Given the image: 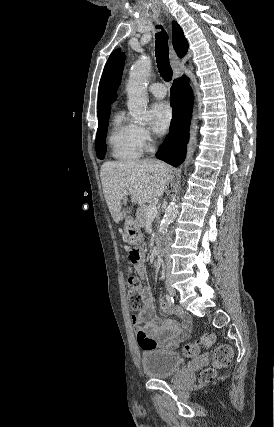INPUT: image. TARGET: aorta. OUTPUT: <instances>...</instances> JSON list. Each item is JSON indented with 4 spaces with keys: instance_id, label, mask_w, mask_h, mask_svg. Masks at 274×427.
<instances>
[{
    "instance_id": "1",
    "label": "aorta",
    "mask_w": 274,
    "mask_h": 427,
    "mask_svg": "<svg viewBox=\"0 0 274 427\" xmlns=\"http://www.w3.org/2000/svg\"><path fill=\"white\" fill-rule=\"evenodd\" d=\"M151 69V59L147 56H142L137 60L129 73V80L126 85L128 96V108L132 118L138 123H146L149 120V114L146 110L147 104V81ZM197 124L194 118L191 123L190 140L187 146V157L185 164H188L192 158L196 141H197ZM179 185V182H178ZM177 185V186H178ZM176 197L170 202L166 208L164 217L160 224L159 232L165 235L168 231L169 225L174 221L178 213V206L176 204Z\"/></svg>"
}]
</instances>
